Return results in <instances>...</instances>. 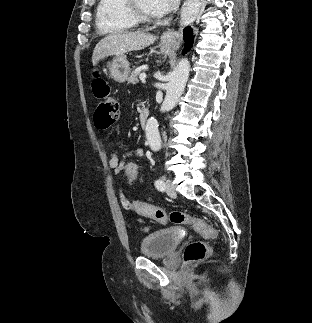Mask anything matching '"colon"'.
<instances>
[{
	"label": "colon",
	"instance_id": "obj_1",
	"mask_svg": "<svg viewBox=\"0 0 312 323\" xmlns=\"http://www.w3.org/2000/svg\"><path fill=\"white\" fill-rule=\"evenodd\" d=\"M92 92L94 96L100 100L96 111L95 116V127L99 131H104L108 128L113 122L117 120L120 114V106L116 98L112 95V90L107 81L103 78H94L92 80ZM127 175H130L132 179H135L138 174V169L135 168L133 162L126 164L124 166ZM131 202H134V199H131ZM126 208H129L130 205L125 203ZM134 213H155L154 218L161 224L166 225L165 220H167V214L162 211L161 206H152L151 202H135L133 204ZM169 215H172V224H189L191 228L196 231L205 234L209 237H214L215 232L209 228L201 218L194 217L187 212H181L173 210ZM209 253V249L206 243L204 242H193L189 244L184 251V259L187 263H197L203 261Z\"/></svg>",
	"mask_w": 312,
	"mask_h": 323
}]
</instances>
